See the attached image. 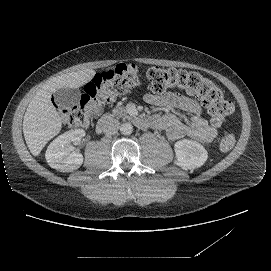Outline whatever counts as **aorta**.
Returning <instances> with one entry per match:
<instances>
[{"mask_svg":"<svg viewBox=\"0 0 271 271\" xmlns=\"http://www.w3.org/2000/svg\"><path fill=\"white\" fill-rule=\"evenodd\" d=\"M120 132L123 135H130L133 132V126L129 122H125L120 126Z\"/></svg>","mask_w":271,"mask_h":271,"instance_id":"1","label":"aorta"}]
</instances>
